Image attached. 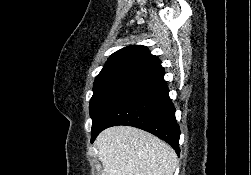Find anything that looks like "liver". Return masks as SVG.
<instances>
[{
  "instance_id": "liver-1",
  "label": "liver",
  "mask_w": 251,
  "mask_h": 175,
  "mask_svg": "<svg viewBox=\"0 0 251 175\" xmlns=\"http://www.w3.org/2000/svg\"><path fill=\"white\" fill-rule=\"evenodd\" d=\"M102 175H173L177 155L171 145L137 127L115 125L96 137Z\"/></svg>"
}]
</instances>
